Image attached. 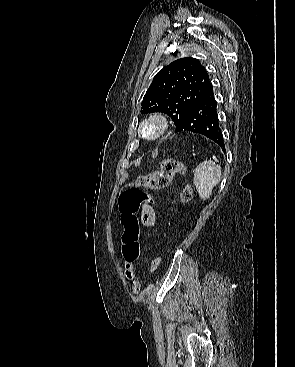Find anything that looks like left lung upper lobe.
<instances>
[{"instance_id":"obj_1","label":"left lung upper lobe","mask_w":295,"mask_h":367,"mask_svg":"<svg viewBox=\"0 0 295 367\" xmlns=\"http://www.w3.org/2000/svg\"><path fill=\"white\" fill-rule=\"evenodd\" d=\"M209 81L198 59H177L154 76L142 101V113H165L177 128Z\"/></svg>"}]
</instances>
